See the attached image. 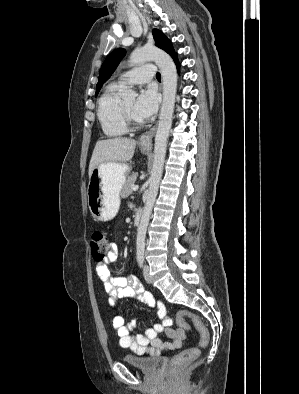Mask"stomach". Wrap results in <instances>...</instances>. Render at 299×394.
Instances as JSON below:
<instances>
[{"instance_id": "obj_1", "label": "stomach", "mask_w": 299, "mask_h": 394, "mask_svg": "<svg viewBox=\"0 0 299 394\" xmlns=\"http://www.w3.org/2000/svg\"><path fill=\"white\" fill-rule=\"evenodd\" d=\"M143 153H148L142 148ZM126 163H102L89 176L87 188L88 206L97 221H109L116 216L120 207V192L129 172Z\"/></svg>"}]
</instances>
